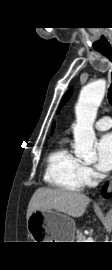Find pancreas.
Here are the masks:
<instances>
[{"label":"pancreas","instance_id":"1","mask_svg":"<svg viewBox=\"0 0 112 270\" xmlns=\"http://www.w3.org/2000/svg\"><path fill=\"white\" fill-rule=\"evenodd\" d=\"M86 237L83 235V233L78 230L77 236H76V242H85Z\"/></svg>","mask_w":112,"mask_h":270}]
</instances>
